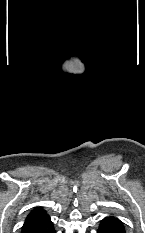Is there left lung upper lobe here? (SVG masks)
Segmentation results:
<instances>
[{
  "mask_svg": "<svg viewBox=\"0 0 145 233\" xmlns=\"http://www.w3.org/2000/svg\"><path fill=\"white\" fill-rule=\"evenodd\" d=\"M104 220L109 221L112 224H114L116 227L125 230L124 223L116 217L110 216V217H106Z\"/></svg>",
  "mask_w": 145,
  "mask_h": 233,
  "instance_id": "left-lung-upper-lobe-1",
  "label": "left lung upper lobe"
}]
</instances>
